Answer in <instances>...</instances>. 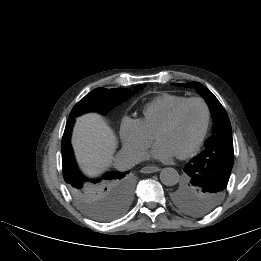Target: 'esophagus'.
Wrapping results in <instances>:
<instances>
[{
  "mask_svg": "<svg viewBox=\"0 0 261 261\" xmlns=\"http://www.w3.org/2000/svg\"><path fill=\"white\" fill-rule=\"evenodd\" d=\"M160 170L159 167L154 166V165H150V166H145L141 169L142 173H155L158 172Z\"/></svg>",
  "mask_w": 261,
  "mask_h": 261,
  "instance_id": "1",
  "label": "esophagus"
}]
</instances>
